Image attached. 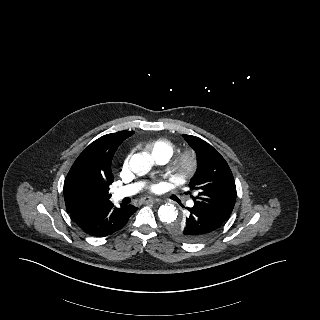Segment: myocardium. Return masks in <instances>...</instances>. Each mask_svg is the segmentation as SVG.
I'll return each mask as SVG.
<instances>
[{
	"instance_id": "f54148a6",
	"label": "myocardium",
	"mask_w": 320,
	"mask_h": 320,
	"mask_svg": "<svg viewBox=\"0 0 320 320\" xmlns=\"http://www.w3.org/2000/svg\"><path fill=\"white\" fill-rule=\"evenodd\" d=\"M198 168V155L192 148H185L173 159L169 172L177 181L188 180Z\"/></svg>"
}]
</instances>
